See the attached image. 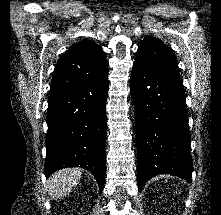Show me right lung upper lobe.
<instances>
[{"label": "right lung upper lobe", "instance_id": "right-lung-upper-lobe-1", "mask_svg": "<svg viewBox=\"0 0 221 215\" xmlns=\"http://www.w3.org/2000/svg\"><path fill=\"white\" fill-rule=\"evenodd\" d=\"M105 72L108 62L100 46L87 39L75 43L56 65L50 97L71 91Z\"/></svg>", "mask_w": 221, "mask_h": 215}]
</instances>
